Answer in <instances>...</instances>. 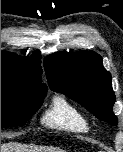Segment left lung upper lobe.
I'll return each mask as SVG.
<instances>
[{"label":"left lung upper lobe","mask_w":123,"mask_h":152,"mask_svg":"<svg viewBox=\"0 0 123 152\" xmlns=\"http://www.w3.org/2000/svg\"><path fill=\"white\" fill-rule=\"evenodd\" d=\"M44 67L53 91L77 101L98 119L117 125V117L112 111L115 102L112 78L97 53H55L45 59Z\"/></svg>","instance_id":"left-lung-upper-lobe-1"}]
</instances>
